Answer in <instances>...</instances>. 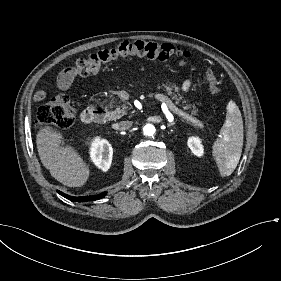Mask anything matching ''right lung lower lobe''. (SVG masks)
<instances>
[{
  "mask_svg": "<svg viewBox=\"0 0 281 281\" xmlns=\"http://www.w3.org/2000/svg\"><path fill=\"white\" fill-rule=\"evenodd\" d=\"M60 195L67 198L68 200L75 201V202H85V201H93L103 198L106 195V192L100 193L98 195L92 196H82V197H73L67 194L62 193L61 191H57Z\"/></svg>",
  "mask_w": 281,
  "mask_h": 281,
  "instance_id": "1",
  "label": "right lung lower lobe"
}]
</instances>
